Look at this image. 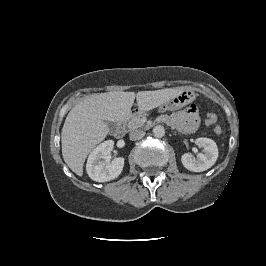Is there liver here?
Listing matches in <instances>:
<instances>
[{
	"instance_id": "1",
	"label": "liver",
	"mask_w": 266,
	"mask_h": 266,
	"mask_svg": "<svg viewBox=\"0 0 266 266\" xmlns=\"http://www.w3.org/2000/svg\"><path fill=\"white\" fill-rule=\"evenodd\" d=\"M183 87L155 91L108 92L87 96L68 113L61 132L65 163L78 176L83 175L87 155L109 133L107 122H119L130 116L136 98L138 110H152L177 95Z\"/></svg>"
}]
</instances>
